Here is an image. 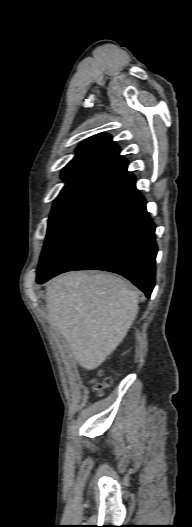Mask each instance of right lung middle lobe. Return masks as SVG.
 Returning a JSON list of instances; mask_svg holds the SVG:
<instances>
[{
  "label": "right lung middle lobe",
  "instance_id": "1",
  "mask_svg": "<svg viewBox=\"0 0 192 527\" xmlns=\"http://www.w3.org/2000/svg\"><path fill=\"white\" fill-rule=\"evenodd\" d=\"M105 184L103 181L88 180L65 185L54 202L40 260Z\"/></svg>",
  "mask_w": 192,
  "mask_h": 527
}]
</instances>
